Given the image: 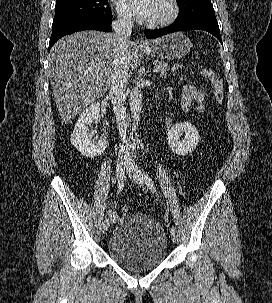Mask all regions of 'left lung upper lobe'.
I'll list each match as a JSON object with an SVG mask.
<instances>
[{
	"label": "left lung upper lobe",
	"instance_id": "1",
	"mask_svg": "<svg viewBox=\"0 0 272 303\" xmlns=\"http://www.w3.org/2000/svg\"><path fill=\"white\" fill-rule=\"evenodd\" d=\"M180 14L176 21L215 17L211 0H177Z\"/></svg>",
	"mask_w": 272,
	"mask_h": 303
}]
</instances>
